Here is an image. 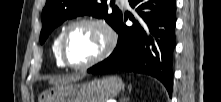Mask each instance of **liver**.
Segmentation results:
<instances>
[{
    "label": "liver",
    "mask_w": 221,
    "mask_h": 102,
    "mask_svg": "<svg viewBox=\"0 0 221 102\" xmlns=\"http://www.w3.org/2000/svg\"><path fill=\"white\" fill-rule=\"evenodd\" d=\"M66 82V80H57V81H55L54 83H65Z\"/></svg>",
    "instance_id": "6515ba94"
}]
</instances>
